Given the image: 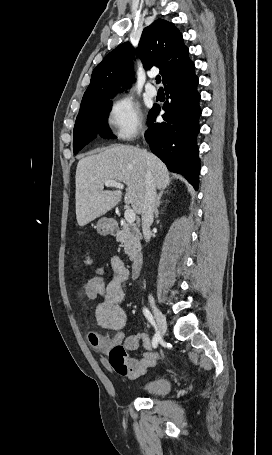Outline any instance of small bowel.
<instances>
[{"mask_svg": "<svg viewBox=\"0 0 272 455\" xmlns=\"http://www.w3.org/2000/svg\"><path fill=\"white\" fill-rule=\"evenodd\" d=\"M110 266L113 275L106 284L102 302L95 308V318L101 328L115 332L113 341L122 344L127 351L138 349L140 342L143 344L144 351L140 357L128 359L126 370L118 372L126 380H135L157 364L159 355L152 350L151 341L147 334L125 335L123 328L126 324L127 316L122 305L125 298L123 284L129 278V271L118 256L111 257ZM78 299L82 302L86 301L79 295ZM101 362L103 365L109 366L105 356H101Z\"/></svg>", "mask_w": 272, "mask_h": 455, "instance_id": "obj_1", "label": "small bowel"}]
</instances>
